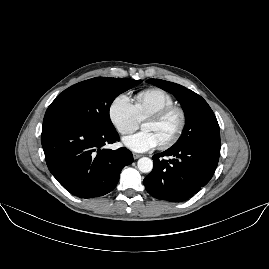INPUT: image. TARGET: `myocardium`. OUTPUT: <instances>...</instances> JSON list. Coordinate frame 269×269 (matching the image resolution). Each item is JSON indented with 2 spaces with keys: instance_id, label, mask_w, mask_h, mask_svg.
Wrapping results in <instances>:
<instances>
[{
  "instance_id": "1",
  "label": "myocardium",
  "mask_w": 269,
  "mask_h": 269,
  "mask_svg": "<svg viewBox=\"0 0 269 269\" xmlns=\"http://www.w3.org/2000/svg\"><path fill=\"white\" fill-rule=\"evenodd\" d=\"M172 113H175L179 117V125L173 136L165 144L160 145V149L162 150L171 148L183 136L187 125V116L185 111L180 106L172 104L150 112L145 118V120L149 118H163Z\"/></svg>"
}]
</instances>
